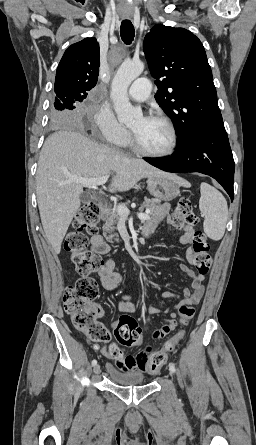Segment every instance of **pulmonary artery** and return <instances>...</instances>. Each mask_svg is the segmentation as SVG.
<instances>
[{
  "label": "pulmonary artery",
  "instance_id": "pulmonary-artery-1",
  "mask_svg": "<svg viewBox=\"0 0 256 445\" xmlns=\"http://www.w3.org/2000/svg\"><path fill=\"white\" fill-rule=\"evenodd\" d=\"M151 92V82L147 78L136 79L128 90L129 97L137 102L148 99Z\"/></svg>",
  "mask_w": 256,
  "mask_h": 445
}]
</instances>
